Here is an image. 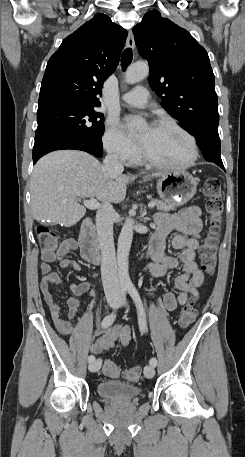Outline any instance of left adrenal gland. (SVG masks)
I'll return each instance as SVG.
<instances>
[{
	"instance_id": "a2214340",
	"label": "left adrenal gland",
	"mask_w": 245,
	"mask_h": 457,
	"mask_svg": "<svg viewBox=\"0 0 245 457\" xmlns=\"http://www.w3.org/2000/svg\"><path fill=\"white\" fill-rule=\"evenodd\" d=\"M145 214H146V210H144V212L142 214V216H144V218H146Z\"/></svg>"
}]
</instances>
